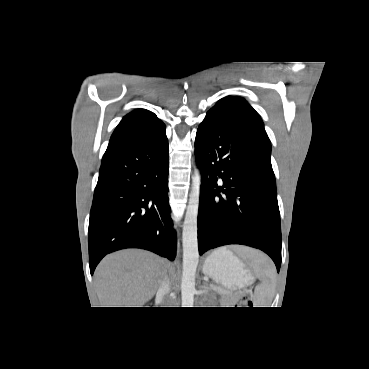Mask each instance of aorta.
<instances>
[{
	"label": "aorta",
	"instance_id": "obj_1",
	"mask_svg": "<svg viewBox=\"0 0 369 369\" xmlns=\"http://www.w3.org/2000/svg\"><path fill=\"white\" fill-rule=\"evenodd\" d=\"M201 189V173L195 169L192 187L183 223V270L181 278L182 307H193L195 294V274L199 261L197 239V217Z\"/></svg>",
	"mask_w": 369,
	"mask_h": 369
}]
</instances>
